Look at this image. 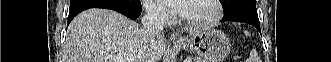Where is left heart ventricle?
I'll list each match as a JSON object with an SVG mask.
<instances>
[{
  "mask_svg": "<svg viewBox=\"0 0 331 62\" xmlns=\"http://www.w3.org/2000/svg\"><path fill=\"white\" fill-rule=\"evenodd\" d=\"M214 9L207 0H193L188 4L187 13L183 18L191 22L206 21L212 17Z\"/></svg>",
  "mask_w": 331,
  "mask_h": 62,
  "instance_id": "b2bd125f",
  "label": "left heart ventricle"
}]
</instances>
